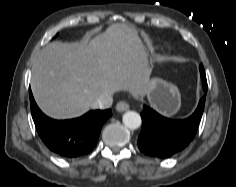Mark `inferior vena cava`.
Masks as SVG:
<instances>
[{
    "label": "inferior vena cava",
    "mask_w": 236,
    "mask_h": 187,
    "mask_svg": "<svg viewBox=\"0 0 236 187\" xmlns=\"http://www.w3.org/2000/svg\"><path fill=\"white\" fill-rule=\"evenodd\" d=\"M113 98L109 94L101 95L97 100L91 104L93 109H107L112 106Z\"/></svg>",
    "instance_id": "1"
}]
</instances>
